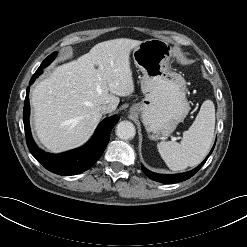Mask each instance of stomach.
<instances>
[{"instance_id":"1","label":"stomach","mask_w":247,"mask_h":247,"mask_svg":"<svg viewBox=\"0 0 247 247\" xmlns=\"http://www.w3.org/2000/svg\"><path fill=\"white\" fill-rule=\"evenodd\" d=\"M172 48L161 39H148L133 49V60L143 76L142 101L130 112L141 117L149 138L170 135L190 111L186 81L170 68Z\"/></svg>"}]
</instances>
